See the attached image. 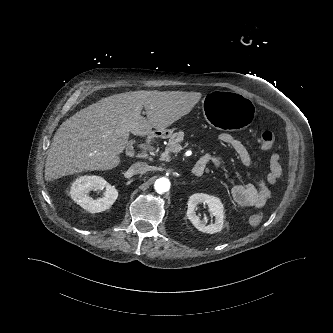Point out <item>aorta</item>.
Wrapping results in <instances>:
<instances>
[{
    "instance_id": "762f6f07",
    "label": "aorta",
    "mask_w": 333,
    "mask_h": 333,
    "mask_svg": "<svg viewBox=\"0 0 333 333\" xmlns=\"http://www.w3.org/2000/svg\"><path fill=\"white\" fill-rule=\"evenodd\" d=\"M170 185H171V183H170L169 179H167L165 177H161L155 181L154 189L156 190L157 193L162 194V193L169 191Z\"/></svg>"
}]
</instances>
